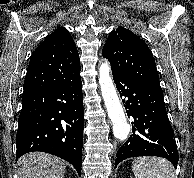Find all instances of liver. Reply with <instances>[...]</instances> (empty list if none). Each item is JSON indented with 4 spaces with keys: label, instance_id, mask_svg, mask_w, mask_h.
Here are the masks:
<instances>
[{
    "label": "liver",
    "instance_id": "6515ba94",
    "mask_svg": "<svg viewBox=\"0 0 194 178\" xmlns=\"http://www.w3.org/2000/svg\"><path fill=\"white\" fill-rule=\"evenodd\" d=\"M66 163L43 152H31L17 162L18 178H63Z\"/></svg>",
    "mask_w": 194,
    "mask_h": 178
}]
</instances>
